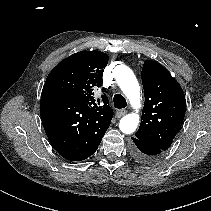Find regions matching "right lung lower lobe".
I'll return each mask as SVG.
<instances>
[{"instance_id": "1", "label": "right lung lower lobe", "mask_w": 211, "mask_h": 211, "mask_svg": "<svg viewBox=\"0 0 211 211\" xmlns=\"http://www.w3.org/2000/svg\"><path fill=\"white\" fill-rule=\"evenodd\" d=\"M40 114L51 145L71 161L94 154L110 125L84 114L74 98L48 90H42Z\"/></svg>"}]
</instances>
